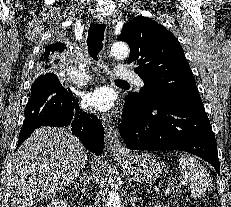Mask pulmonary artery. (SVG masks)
I'll return each mask as SVG.
<instances>
[{
	"instance_id": "obj_1",
	"label": "pulmonary artery",
	"mask_w": 231,
	"mask_h": 207,
	"mask_svg": "<svg viewBox=\"0 0 231 207\" xmlns=\"http://www.w3.org/2000/svg\"><path fill=\"white\" fill-rule=\"evenodd\" d=\"M115 77L121 80L130 81L136 86H142V79L130 68L127 66L119 65L114 70ZM70 78L73 83L81 85L85 84L89 77L85 74L80 68H72L70 72Z\"/></svg>"
}]
</instances>
